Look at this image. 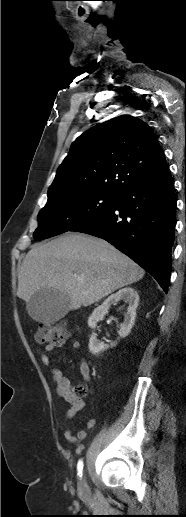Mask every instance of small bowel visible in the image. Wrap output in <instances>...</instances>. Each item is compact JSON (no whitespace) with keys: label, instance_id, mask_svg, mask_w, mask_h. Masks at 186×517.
Wrapping results in <instances>:
<instances>
[{"label":"small bowel","instance_id":"c3829d8e","mask_svg":"<svg viewBox=\"0 0 186 517\" xmlns=\"http://www.w3.org/2000/svg\"><path fill=\"white\" fill-rule=\"evenodd\" d=\"M70 347L73 350H78L80 348V342L72 337L67 339ZM59 345L64 343L63 341L58 342ZM55 348L54 345H47L45 348H38L37 355L40 358L41 362L45 366L50 365L49 353ZM80 374L85 381L90 380V367L88 362L85 359L80 361ZM52 378L56 385V393L59 397L64 398L70 403V408L65 412V419H72L79 411H81L85 403L82 399L76 397L74 395L75 386L66 378L61 370L58 368H53L51 371ZM96 425V419L91 418L88 419L85 428L80 429L75 436L71 429H66L64 431L65 439L70 443H76L79 440H83L87 436V430L93 428Z\"/></svg>","mask_w":186,"mask_h":517}]
</instances>
